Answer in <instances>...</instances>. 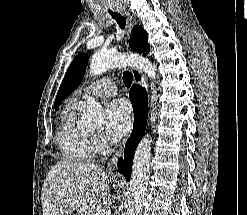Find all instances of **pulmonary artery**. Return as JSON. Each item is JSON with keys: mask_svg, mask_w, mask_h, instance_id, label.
<instances>
[{"mask_svg": "<svg viewBox=\"0 0 247 215\" xmlns=\"http://www.w3.org/2000/svg\"><path fill=\"white\" fill-rule=\"evenodd\" d=\"M95 97H111L116 94V85L110 78H102L88 86Z\"/></svg>", "mask_w": 247, "mask_h": 215, "instance_id": "e3ab8cb5", "label": "pulmonary artery"}]
</instances>
